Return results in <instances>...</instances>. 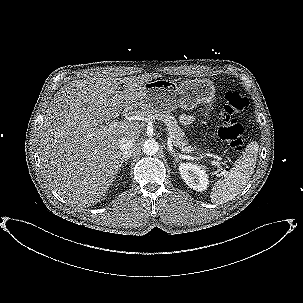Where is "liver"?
<instances>
[{
	"instance_id": "1",
	"label": "liver",
	"mask_w": 303,
	"mask_h": 303,
	"mask_svg": "<svg viewBox=\"0 0 303 303\" xmlns=\"http://www.w3.org/2000/svg\"><path fill=\"white\" fill-rule=\"evenodd\" d=\"M158 77L95 73L54 95L39 129V155L49 185L67 203L88 207L105 196L120 169V140L137 139L140 127L131 123L109 132L98 125L118 117L123 108L145 114L140 104L143 86Z\"/></svg>"
}]
</instances>
